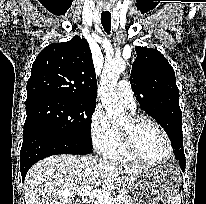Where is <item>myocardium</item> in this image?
Here are the masks:
<instances>
[{"label":"myocardium","instance_id":"obj_1","mask_svg":"<svg viewBox=\"0 0 206 204\" xmlns=\"http://www.w3.org/2000/svg\"><path fill=\"white\" fill-rule=\"evenodd\" d=\"M146 124L156 128L165 138L168 146V155L165 159L159 161L151 160L140 151L137 144V132L143 125ZM119 128L127 150L138 160L151 165H162L167 163L172 158L174 153L172 141L166 130L153 119L144 115L133 113L128 116L127 123L125 125H120Z\"/></svg>","mask_w":206,"mask_h":204}]
</instances>
